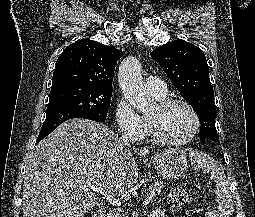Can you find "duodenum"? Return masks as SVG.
Here are the masks:
<instances>
[{
	"mask_svg": "<svg viewBox=\"0 0 255 217\" xmlns=\"http://www.w3.org/2000/svg\"><path fill=\"white\" fill-rule=\"evenodd\" d=\"M91 217H106V210L105 209H99L96 212H94Z\"/></svg>",
	"mask_w": 255,
	"mask_h": 217,
	"instance_id": "410a0bca",
	"label": "duodenum"
}]
</instances>
